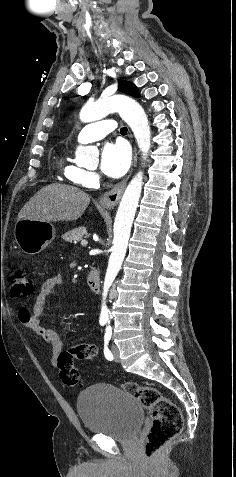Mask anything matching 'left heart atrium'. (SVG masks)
Here are the masks:
<instances>
[{"label": "left heart atrium", "mask_w": 236, "mask_h": 477, "mask_svg": "<svg viewBox=\"0 0 236 477\" xmlns=\"http://www.w3.org/2000/svg\"><path fill=\"white\" fill-rule=\"evenodd\" d=\"M131 154L123 143H108L104 146L100 167L102 172L112 178H119L128 170Z\"/></svg>", "instance_id": "39dd6f15"}]
</instances>
